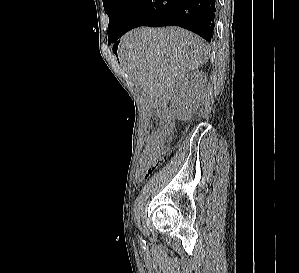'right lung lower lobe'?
<instances>
[{"instance_id":"98d812e1","label":"right lung lower lobe","mask_w":299,"mask_h":273,"mask_svg":"<svg viewBox=\"0 0 299 273\" xmlns=\"http://www.w3.org/2000/svg\"><path fill=\"white\" fill-rule=\"evenodd\" d=\"M215 13L216 0H134L112 42L138 26L169 25L191 30L210 42Z\"/></svg>"}]
</instances>
